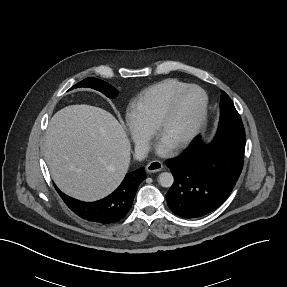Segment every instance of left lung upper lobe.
Instances as JSON below:
<instances>
[{
    "instance_id": "obj_1",
    "label": "left lung upper lobe",
    "mask_w": 287,
    "mask_h": 287,
    "mask_svg": "<svg viewBox=\"0 0 287 287\" xmlns=\"http://www.w3.org/2000/svg\"><path fill=\"white\" fill-rule=\"evenodd\" d=\"M225 135L245 136V130L234 104L229 96L222 91L220 101V121L216 137Z\"/></svg>"
}]
</instances>
